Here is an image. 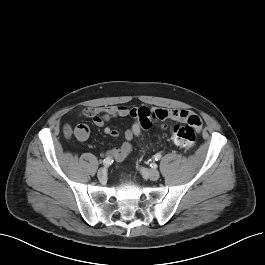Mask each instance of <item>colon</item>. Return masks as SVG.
<instances>
[{
  "instance_id": "1",
  "label": "colon",
  "mask_w": 265,
  "mask_h": 265,
  "mask_svg": "<svg viewBox=\"0 0 265 265\" xmlns=\"http://www.w3.org/2000/svg\"><path fill=\"white\" fill-rule=\"evenodd\" d=\"M162 113L160 111L151 113V118H159ZM196 119L191 118V123L187 125L176 124L172 129L173 142L182 149H190L194 146L197 133L195 126ZM67 133H70V129H67Z\"/></svg>"
}]
</instances>
